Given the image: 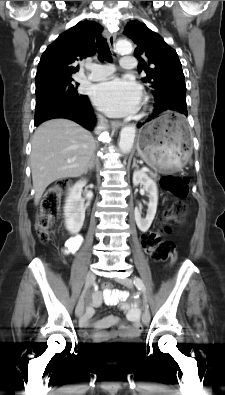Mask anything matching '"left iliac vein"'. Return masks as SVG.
Returning <instances> with one entry per match:
<instances>
[{
  "label": "left iliac vein",
  "mask_w": 225,
  "mask_h": 395,
  "mask_svg": "<svg viewBox=\"0 0 225 395\" xmlns=\"http://www.w3.org/2000/svg\"><path fill=\"white\" fill-rule=\"evenodd\" d=\"M118 282L127 288H132L133 287V282L129 277L119 279ZM150 321V313L148 308L145 306L143 309V314H142V322L143 324L147 325Z\"/></svg>",
  "instance_id": "4c4485c4"
}]
</instances>
